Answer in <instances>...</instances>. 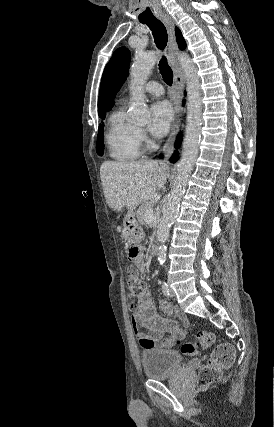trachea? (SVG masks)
<instances>
[{
  "label": "trachea",
  "instance_id": "3493384b",
  "mask_svg": "<svg viewBox=\"0 0 274 427\" xmlns=\"http://www.w3.org/2000/svg\"><path fill=\"white\" fill-rule=\"evenodd\" d=\"M141 23L148 25L150 30H152V34L158 49L164 50L168 41V35L165 25H163V23L155 17L143 20L141 21ZM159 70L163 77V80L166 82L167 85L171 86L173 80V73L171 68L167 64V59L165 58V56H163V58H161L159 62Z\"/></svg>",
  "mask_w": 274,
  "mask_h": 427
}]
</instances>
